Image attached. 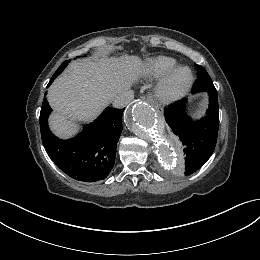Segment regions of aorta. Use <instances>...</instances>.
Returning a JSON list of instances; mask_svg holds the SVG:
<instances>
[{
  "label": "aorta",
  "mask_w": 260,
  "mask_h": 260,
  "mask_svg": "<svg viewBox=\"0 0 260 260\" xmlns=\"http://www.w3.org/2000/svg\"><path fill=\"white\" fill-rule=\"evenodd\" d=\"M126 123L139 138L151 144L163 165L180 164L181 144L165 133V125L147 103L137 101L126 115Z\"/></svg>",
  "instance_id": "aorta-1"
}]
</instances>
